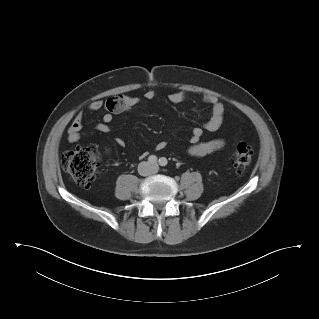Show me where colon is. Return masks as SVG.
I'll return each mask as SVG.
<instances>
[{
	"instance_id": "obj_1",
	"label": "colon",
	"mask_w": 319,
	"mask_h": 319,
	"mask_svg": "<svg viewBox=\"0 0 319 319\" xmlns=\"http://www.w3.org/2000/svg\"><path fill=\"white\" fill-rule=\"evenodd\" d=\"M112 105L113 102L110 100L108 107L112 108ZM100 160L101 153L96 148L81 146L63 154L61 164L77 184L89 187L96 177ZM251 160V147L245 142L237 143L233 153V168L236 173H244Z\"/></svg>"
}]
</instances>
